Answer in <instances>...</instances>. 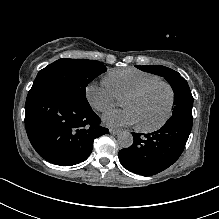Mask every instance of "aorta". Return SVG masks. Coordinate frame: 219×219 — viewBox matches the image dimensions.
<instances>
[{"label":"aorta","instance_id":"1","mask_svg":"<svg viewBox=\"0 0 219 219\" xmlns=\"http://www.w3.org/2000/svg\"><path fill=\"white\" fill-rule=\"evenodd\" d=\"M117 142L121 148H128L133 144V137L131 133L123 131L118 135Z\"/></svg>","mask_w":219,"mask_h":219}]
</instances>
